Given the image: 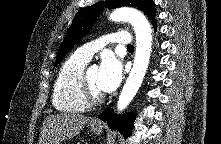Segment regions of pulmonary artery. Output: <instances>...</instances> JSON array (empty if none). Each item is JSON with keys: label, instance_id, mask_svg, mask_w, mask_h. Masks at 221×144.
I'll return each instance as SVG.
<instances>
[{"label": "pulmonary artery", "instance_id": "pulmonary-artery-1", "mask_svg": "<svg viewBox=\"0 0 221 144\" xmlns=\"http://www.w3.org/2000/svg\"><path fill=\"white\" fill-rule=\"evenodd\" d=\"M109 43L129 45L131 43V35L126 31L110 33L79 47L75 53L86 61H89L97 51Z\"/></svg>", "mask_w": 221, "mask_h": 144}]
</instances>
